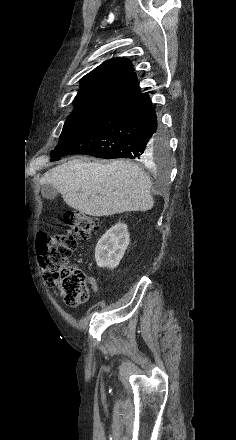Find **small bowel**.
Returning a JSON list of instances; mask_svg holds the SVG:
<instances>
[{
    "label": "small bowel",
    "instance_id": "1",
    "mask_svg": "<svg viewBox=\"0 0 236 440\" xmlns=\"http://www.w3.org/2000/svg\"><path fill=\"white\" fill-rule=\"evenodd\" d=\"M89 283H90L93 291L96 292L98 290V285H97L96 280L93 277H89Z\"/></svg>",
    "mask_w": 236,
    "mask_h": 440
}]
</instances>
